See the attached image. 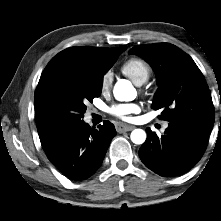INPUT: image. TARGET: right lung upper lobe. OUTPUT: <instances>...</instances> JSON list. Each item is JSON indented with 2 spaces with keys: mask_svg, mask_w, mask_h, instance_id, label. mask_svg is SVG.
<instances>
[{
  "mask_svg": "<svg viewBox=\"0 0 221 221\" xmlns=\"http://www.w3.org/2000/svg\"><path fill=\"white\" fill-rule=\"evenodd\" d=\"M127 48L121 46L117 48H103V47H72L67 48L57 55H55L45 67L42 75L51 72L61 66L73 65L77 63H97L99 65L115 62L119 55ZM40 141L43 149L48 146L57 138H45L40 136Z\"/></svg>",
  "mask_w": 221,
  "mask_h": 221,
  "instance_id": "cb5924a9",
  "label": "right lung upper lobe"
}]
</instances>
